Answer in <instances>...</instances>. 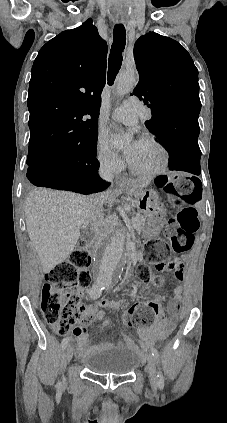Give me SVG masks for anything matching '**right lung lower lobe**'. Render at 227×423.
<instances>
[{
	"label": "right lung lower lobe",
	"instance_id": "1",
	"mask_svg": "<svg viewBox=\"0 0 227 423\" xmlns=\"http://www.w3.org/2000/svg\"><path fill=\"white\" fill-rule=\"evenodd\" d=\"M98 168L96 155L64 158L49 154L28 165L27 178L35 186L90 194L108 186L98 176Z\"/></svg>",
	"mask_w": 227,
	"mask_h": 423
}]
</instances>
